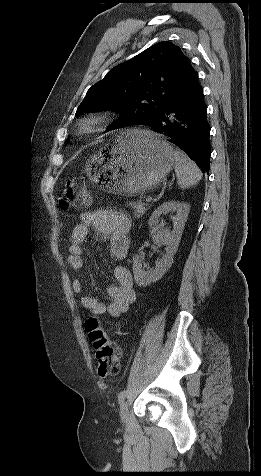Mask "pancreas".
<instances>
[{
    "mask_svg": "<svg viewBox=\"0 0 261 476\" xmlns=\"http://www.w3.org/2000/svg\"><path fill=\"white\" fill-rule=\"evenodd\" d=\"M134 216L139 218L142 217L145 212L150 209L151 205L149 203H145L143 200H137L131 204Z\"/></svg>",
    "mask_w": 261,
    "mask_h": 476,
    "instance_id": "pancreas-1",
    "label": "pancreas"
}]
</instances>
